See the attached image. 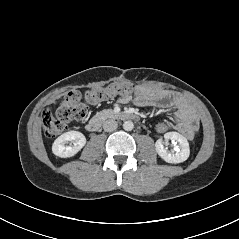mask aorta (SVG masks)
Wrapping results in <instances>:
<instances>
[{"label":"aorta","instance_id":"762f6f07","mask_svg":"<svg viewBox=\"0 0 239 239\" xmlns=\"http://www.w3.org/2000/svg\"><path fill=\"white\" fill-rule=\"evenodd\" d=\"M123 128H124V130H126V131H131V130L134 128V124H133L132 121H125V122L123 123Z\"/></svg>","mask_w":239,"mask_h":239}]
</instances>
